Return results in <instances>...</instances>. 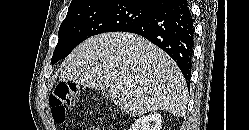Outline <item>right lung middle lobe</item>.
<instances>
[{
	"label": "right lung middle lobe",
	"mask_w": 249,
	"mask_h": 130,
	"mask_svg": "<svg viewBox=\"0 0 249 130\" xmlns=\"http://www.w3.org/2000/svg\"><path fill=\"white\" fill-rule=\"evenodd\" d=\"M155 14L156 12L128 0L95 1L69 9L59 29V40L51 64L65 58L77 45L91 36L123 31Z\"/></svg>",
	"instance_id": "1"
}]
</instances>
